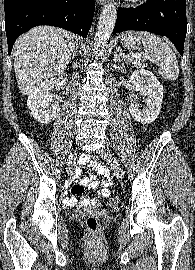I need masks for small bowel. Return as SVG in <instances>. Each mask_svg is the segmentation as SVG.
Segmentation results:
<instances>
[{
  "label": "small bowel",
  "mask_w": 195,
  "mask_h": 270,
  "mask_svg": "<svg viewBox=\"0 0 195 270\" xmlns=\"http://www.w3.org/2000/svg\"><path fill=\"white\" fill-rule=\"evenodd\" d=\"M80 162L89 170L93 171V173L82 178H77L76 184L71 188L72 196L65 199V204L68 206H97V199H82L79 198L78 195L83 193L84 187H88L90 189H97L100 197H108L110 195L109 187L112 185L110 172L106 166L94 161H89L87 156L82 157ZM98 176H100L102 180H99L97 178Z\"/></svg>",
  "instance_id": "obj_1"
}]
</instances>
